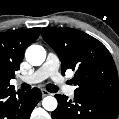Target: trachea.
<instances>
[{
  "instance_id": "1",
  "label": "trachea",
  "mask_w": 119,
  "mask_h": 119,
  "mask_svg": "<svg viewBox=\"0 0 119 119\" xmlns=\"http://www.w3.org/2000/svg\"><path fill=\"white\" fill-rule=\"evenodd\" d=\"M30 88L31 86L29 84H25V83L21 84V89L24 91H28L30 90ZM46 89L51 93H55L58 91L59 88L54 84H47Z\"/></svg>"
}]
</instances>
